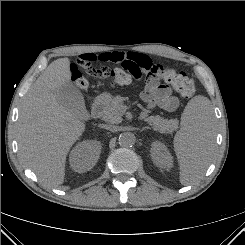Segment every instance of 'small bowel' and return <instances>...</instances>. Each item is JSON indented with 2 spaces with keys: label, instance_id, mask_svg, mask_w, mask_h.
Wrapping results in <instances>:
<instances>
[{
  "label": "small bowel",
  "instance_id": "obj_1",
  "mask_svg": "<svg viewBox=\"0 0 245 245\" xmlns=\"http://www.w3.org/2000/svg\"><path fill=\"white\" fill-rule=\"evenodd\" d=\"M97 59L101 62L111 63H121L125 59H131L140 69V74L133 77L136 79H140L142 73H146L153 65L147 55L135 52H103L97 56ZM141 97L148 107L157 106L165 111H174L179 106V99L173 95L171 89L167 86L160 85L158 81L148 79Z\"/></svg>",
  "mask_w": 245,
  "mask_h": 245
}]
</instances>
